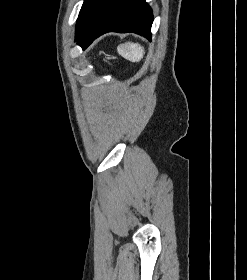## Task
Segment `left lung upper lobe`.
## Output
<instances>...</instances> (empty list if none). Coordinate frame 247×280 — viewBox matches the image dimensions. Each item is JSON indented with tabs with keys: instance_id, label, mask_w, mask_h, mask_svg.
I'll use <instances>...</instances> for the list:
<instances>
[{
	"instance_id": "obj_1",
	"label": "left lung upper lobe",
	"mask_w": 247,
	"mask_h": 280,
	"mask_svg": "<svg viewBox=\"0 0 247 280\" xmlns=\"http://www.w3.org/2000/svg\"><path fill=\"white\" fill-rule=\"evenodd\" d=\"M100 1L101 0H84L77 20L76 34L79 32L90 12Z\"/></svg>"
}]
</instances>
